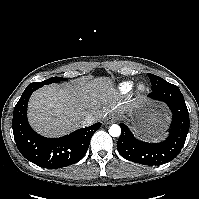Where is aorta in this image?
Masks as SVG:
<instances>
[{"mask_svg": "<svg viewBox=\"0 0 199 199\" xmlns=\"http://www.w3.org/2000/svg\"><path fill=\"white\" fill-rule=\"evenodd\" d=\"M109 134L112 137H119L121 134V128L119 125L117 124H113L110 128H109Z\"/></svg>", "mask_w": 199, "mask_h": 199, "instance_id": "1", "label": "aorta"}]
</instances>
